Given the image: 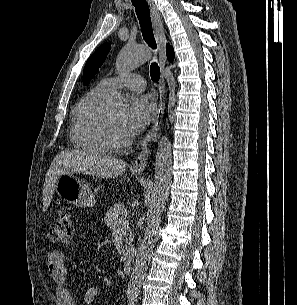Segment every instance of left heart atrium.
Listing matches in <instances>:
<instances>
[{
    "instance_id": "39dd6f15",
    "label": "left heart atrium",
    "mask_w": 297,
    "mask_h": 305,
    "mask_svg": "<svg viewBox=\"0 0 297 305\" xmlns=\"http://www.w3.org/2000/svg\"><path fill=\"white\" fill-rule=\"evenodd\" d=\"M156 106L149 95L135 96L123 118L122 127L128 138L138 135L151 122Z\"/></svg>"
}]
</instances>
